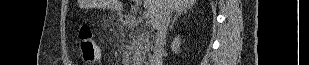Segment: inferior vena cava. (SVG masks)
<instances>
[{"mask_svg":"<svg viewBox=\"0 0 309 65\" xmlns=\"http://www.w3.org/2000/svg\"><path fill=\"white\" fill-rule=\"evenodd\" d=\"M171 12L166 11L162 16L157 25V33L154 42V50L153 56L150 60L151 65H162L163 62V53H164V46L166 41V35L168 26L170 23Z\"/></svg>","mask_w":309,"mask_h":65,"instance_id":"obj_1","label":"inferior vena cava"}]
</instances>
